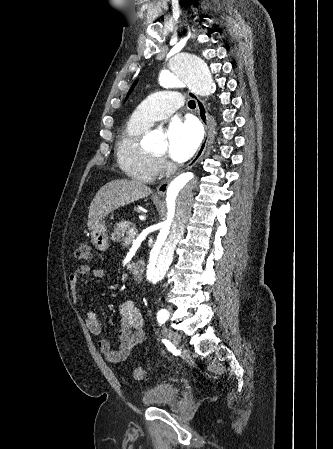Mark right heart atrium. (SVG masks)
Segmentation results:
<instances>
[{"label":"right heart atrium","mask_w":333,"mask_h":449,"mask_svg":"<svg viewBox=\"0 0 333 449\" xmlns=\"http://www.w3.org/2000/svg\"><path fill=\"white\" fill-rule=\"evenodd\" d=\"M158 165H159V168L161 170V169H164L166 167L167 163H166V161L164 159H158Z\"/></svg>","instance_id":"d8ad5b80"}]
</instances>
